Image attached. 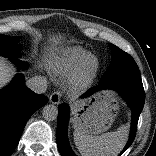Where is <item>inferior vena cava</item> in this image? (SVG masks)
<instances>
[{"mask_svg":"<svg viewBox=\"0 0 156 156\" xmlns=\"http://www.w3.org/2000/svg\"><path fill=\"white\" fill-rule=\"evenodd\" d=\"M26 85L37 94L45 93L47 90V80L42 76H35L27 80Z\"/></svg>","mask_w":156,"mask_h":156,"instance_id":"1","label":"inferior vena cava"}]
</instances>
